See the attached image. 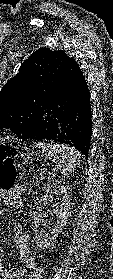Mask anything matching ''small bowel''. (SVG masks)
Segmentation results:
<instances>
[{"label": "small bowel", "instance_id": "c3829d8e", "mask_svg": "<svg viewBox=\"0 0 113 279\" xmlns=\"http://www.w3.org/2000/svg\"><path fill=\"white\" fill-rule=\"evenodd\" d=\"M0 202L14 207H19L22 204L20 197L3 192H0ZM14 238L19 252V258L25 266L5 269L0 261V279H24L26 272L35 268V260L30 251L29 234L23 230L20 224L15 226Z\"/></svg>", "mask_w": 113, "mask_h": 279}]
</instances>
